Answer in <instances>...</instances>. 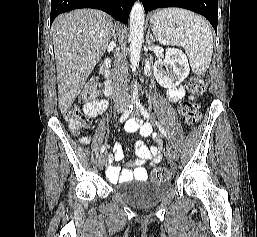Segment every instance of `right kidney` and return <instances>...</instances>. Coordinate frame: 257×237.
<instances>
[{
	"mask_svg": "<svg viewBox=\"0 0 257 237\" xmlns=\"http://www.w3.org/2000/svg\"><path fill=\"white\" fill-rule=\"evenodd\" d=\"M101 74H103V67L100 68V72Z\"/></svg>",
	"mask_w": 257,
	"mask_h": 237,
	"instance_id": "1",
	"label": "right kidney"
}]
</instances>
